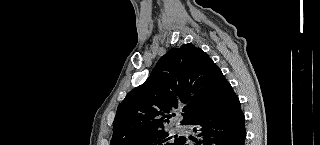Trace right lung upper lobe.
Returning a JSON list of instances; mask_svg holds the SVG:
<instances>
[{"mask_svg": "<svg viewBox=\"0 0 320 145\" xmlns=\"http://www.w3.org/2000/svg\"><path fill=\"white\" fill-rule=\"evenodd\" d=\"M221 76L212 59L193 44L171 49L119 105L111 145H132L164 129L178 107L184 106L181 124H187L208 108Z\"/></svg>", "mask_w": 320, "mask_h": 145, "instance_id": "1", "label": "right lung upper lobe"}]
</instances>
